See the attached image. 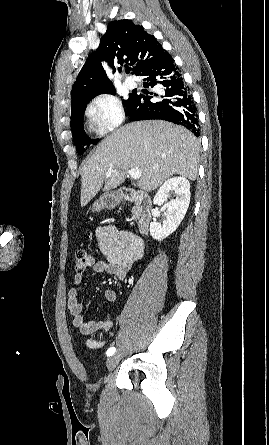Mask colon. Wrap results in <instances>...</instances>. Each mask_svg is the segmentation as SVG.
<instances>
[{"label": "colon", "instance_id": "obj_1", "mask_svg": "<svg viewBox=\"0 0 269 445\" xmlns=\"http://www.w3.org/2000/svg\"><path fill=\"white\" fill-rule=\"evenodd\" d=\"M75 269L77 272H84L88 267L93 264V257L84 249H78L74 254Z\"/></svg>", "mask_w": 269, "mask_h": 445}]
</instances>
